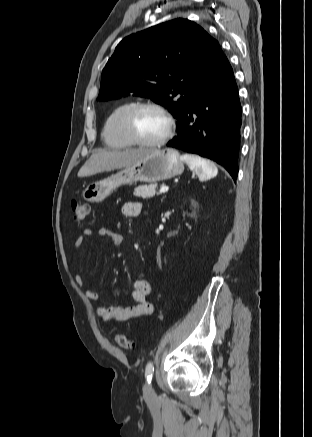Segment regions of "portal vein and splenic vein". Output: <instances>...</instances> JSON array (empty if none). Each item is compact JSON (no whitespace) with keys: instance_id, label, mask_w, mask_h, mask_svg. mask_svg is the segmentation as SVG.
Instances as JSON below:
<instances>
[{"instance_id":"18ae733b","label":"portal vein and splenic vein","mask_w":312,"mask_h":437,"mask_svg":"<svg viewBox=\"0 0 312 437\" xmlns=\"http://www.w3.org/2000/svg\"><path fill=\"white\" fill-rule=\"evenodd\" d=\"M168 189H169V188H168L167 186H163V187L160 188L159 192H160V193H165V192L168 191Z\"/></svg>"}]
</instances>
